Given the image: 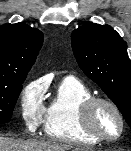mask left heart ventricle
Wrapping results in <instances>:
<instances>
[{"mask_svg": "<svg viewBox=\"0 0 131 151\" xmlns=\"http://www.w3.org/2000/svg\"><path fill=\"white\" fill-rule=\"evenodd\" d=\"M94 125L98 132L107 137H115L120 130V123L116 114L105 105L97 107L94 114Z\"/></svg>", "mask_w": 131, "mask_h": 151, "instance_id": "left-heart-ventricle-1", "label": "left heart ventricle"}]
</instances>
